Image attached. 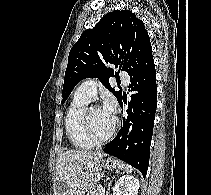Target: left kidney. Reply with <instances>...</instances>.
Segmentation results:
<instances>
[{
	"label": "left kidney",
	"mask_w": 211,
	"mask_h": 195,
	"mask_svg": "<svg viewBox=\"0 0 211 195\" xmlns=\"http://www.w3.org/2000/svg\"><path fill=\"white\" fill-rule=\"evenodd\" d=\"M139 180L134 176H121L113 187V195H137Z\"/></svg>",
	"instance_id": "left-kidney-1"
}]
</instances>
